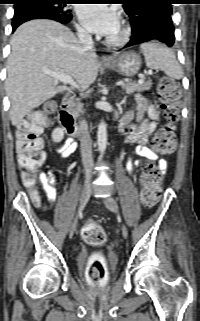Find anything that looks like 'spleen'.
I'll return each instance as SVG.
<instances>
[{"label": "spleen", "instance_id": "1", "mask_svg": "<svg viewBox=\"0 0 200 321\" xmlns=\"http://www.w3.org/2000/svg\"><path fill=\"white\" fill-rule=\"evenodd\" d=\"M140 49L148 68L162 70L173 79H181L183 72L171 49L165 45L153 42L141 44Z\"/></svg>", "mask_w": 200, "mask_h": 321}]
</instances>
